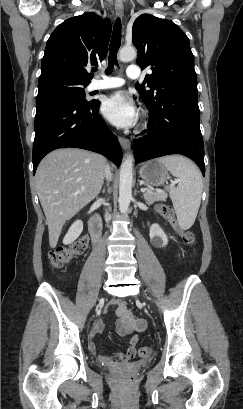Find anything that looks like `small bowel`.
<instances>
[{"mask_svg": "<svg viewBox=\"0 0 243 409\" xmlns=\"http://www.w3.org/2000/svg\"><path fill=\"white\" fill-rule=\"evenodd\" d=\"M111 307L115 308V314L118 318L115 324V330L117 334L121 337L128 336L132 332H142L145 329V321L140 318H135L128 311L127 304L123 300H115L112 302ZM106 312L108 309L105 310ZM105 330V325L102 321H98L91 332V337L89 341L90 352L97 356V359L105 365L120 364L127 360H130L136 355V345L138 343V336L134 335L129 340L128 349L123 354L104 356L98 353V348L93 338L95 335L103 332Z\"/></svg>", "mask_w": 243, "mask_h": 409, "instance_id": "c3829d8e", "label": "small bowel"}]
</instances>
